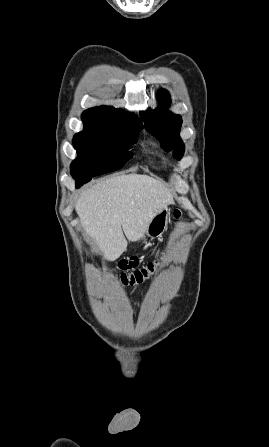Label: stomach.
<instances>
[{
	"instance_id": "obj_1",
	"label": "stomach",
	"mask_w": 269,
	"mask_h": 447,
	"mask_svg": "<svg viewBox=\"0 0 269 447\" xmlns=\"http://www.w3.org/2000/svg\"><path fill=\"white\" fill-rule=\"evenodd\" d=\"M169 212V208H164L159 214H156L150 224H148L146 233L140 239H146V235H149V237H161L162 233L167 229Z\"/></svg>"
}]
</instances>
